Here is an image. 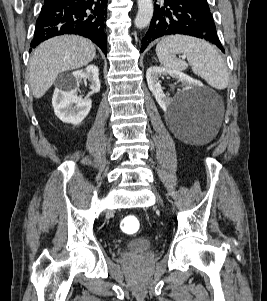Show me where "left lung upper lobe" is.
I'll list each match as a JSON object with an SVG mask.
<instances>
[{
  "label": "left lung upper lobe",
  "mask_w": 267,
  "mask_h": 301,
  "mask_svg": "<svg viewBox=\"0 0 267 301\" xmlns=\"http://www.w3.org/2000/svg\"><path fill=\"white\" fill-rule=\"evenodd\" d=\"M197 2H199L200 4L208 7L207 1L206 0H196Z\"/></svg>",
  "instance_id": "obj_1"
}]
</instances>
